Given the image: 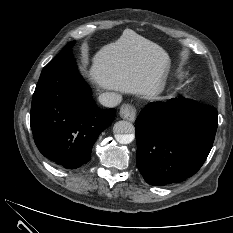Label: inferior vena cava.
<instances>
[{"label":"inferior vena cava","mask_w":233,"mask_h":233,"mask_svg":"<svg viewBox=\"0 0 233 233\" xmlns=\"http://www.w3.org/2000/svg\"><path fill=\"white\" fill-rule=\"evenodd\" d=\"M99 102L105 107H115L121 102L122 97L115 92H105L99 96Z\"/></svg>","instance_id":"602c4592"}]
</instances>
